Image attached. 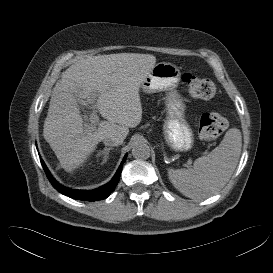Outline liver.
Instances as JSON below:
<instances>
[{
  "mask_svg": "<svg viewBox=\"0 0 273 273\" xmlns=\"http://www.w3.org/2000/svg\"><path fill=\"white\" fill-rule=\"evenodd\" d=\"M155 63L150 54L118 53L88 56L63 72L51 94L43 136L64 169H77L104 138L123 143L142 119L139 89ZM78 104L97 109L106 120L87 130Z\"/></svg>",
  "mask_w": 273,
  "mask_h": 273,
  "instance_id": "6515ba94",
  "label": "liver"
}]
</instances>
